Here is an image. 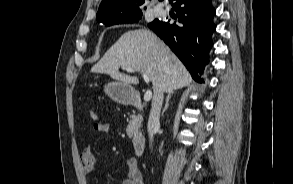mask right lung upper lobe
Returning <instances> with one entry per match:
<instances>
[{"label": "right lung upper lobe", "instance_id": "1", "mask_svg": "<svg viewBox=\"0 0 293 184\" xmlns=\"http://www.w3.org/2000/svg\"><path fill=\"white\" fill-rule=\"evenodd\" d=\"M145 0H102L96 20L108 25L142 12Z\"/></svg>", "mask_w": 293, "mask_h": 184}]
</instances>
